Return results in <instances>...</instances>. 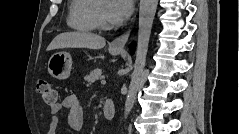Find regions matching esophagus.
Returning a JSON list of instances; mask_svg holds the SVG:
<instances>
[{
	"mask_svg": "<svg viewBox=\"0 0 239 134\" xmlns=\"http://www.w3.org/2000/svg\"><path fill=\"white\" fill-rule=\"evenodd\" d=\"M131 29H128L126 32H124L122 35L117 37L111 42V47L117 48V49H123L126 42L128 41V38L130 36Z\"/></svg>",
	"mask_w": 239,
	"mask_h": 134,
	"instance_id": "esophagus-1",
	"label": "esophagus"
}]
</instances>
